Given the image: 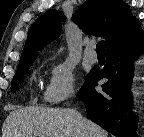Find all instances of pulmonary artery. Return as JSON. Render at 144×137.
Returning <instances> with one entry per match:
<instances>
[{
  "mask_svg": "<svg viewBox=\"0 0 144 137\" xmlns=\"http://www.w3.org/2000/svg\"><path fill=\"white\" fill-rule=\"evenodd\" d=\"M95 44L93 42H89L85 51H84V57L87 61L91 63L97 62V54L94 51Z\"/></svg>",
  "mask_w": 144,
  "mask_h": 137,
  "instance_id": "e3ab8cb5",
  "label": "pulmonary artery"
}]
</instances>
